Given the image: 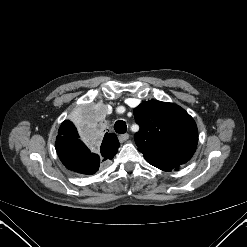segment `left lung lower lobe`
<instances>
[{
  "instance_id": "left-lung-lower-lobe-1",
  "label": "left lung lower lobe",
  "mask_w": 247,
  "mask_h": 247,
  "mask_svg": "<svg viewBox=\"0 0 247 247\" xmlns=\"http://www.w3.org/2000/svg\"><path fill=\"white\" fill-rule=\"evenodd\" d=\"M163 171H172L173 169L178 170L180 165H170V164H151Z\"/></svg>"
}]
</instances>
